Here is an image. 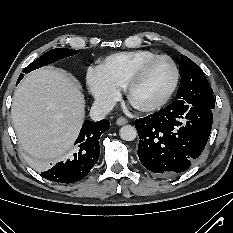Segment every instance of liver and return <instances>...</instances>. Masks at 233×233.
<instances>
[{
	"label": "liver",
	"instance_id": "1",
	"mask_svg": "<svg viewBox=\"0 0 233 233\" xmlns=\"http://www.w3.org/2000/svg\"><path fill=\"white\" fill-rule=\"evenodd\" d=\"M84 96L63 71L43 68L30 73L14 92L13 125L22 148L37 160L64 155L84 120Z\"/></svg>",
	"mask_w": 233,
	"mask_h": 233
}]
</instances>
